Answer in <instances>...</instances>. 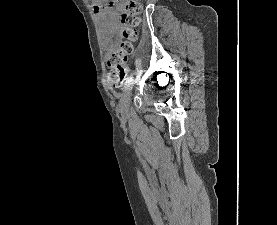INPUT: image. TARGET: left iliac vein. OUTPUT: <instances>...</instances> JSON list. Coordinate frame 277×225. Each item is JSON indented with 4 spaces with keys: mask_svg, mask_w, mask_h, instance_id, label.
I'll return each instance as SVG.
<instances>
[{
    "mask_svg": "<svg viewBox=\"0 0 277 225\" xmlns=\"http://www.w3.org/2000/svg\"><path fill=\"white\" fill-rule=\"evenodd\" d=\"M136 79H133L127 87L124 89L123 93L121 94V98L119 101V109L121 112V115L123 117H126L129 112V105H130V98H131V92L134 86Z\"/></svg>",
    "mask_w": 277,
    "mask_h": 225,
    "instance_id": "4c4485c4",
    "label": "left iliac vein"
}]
</instances>
